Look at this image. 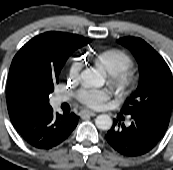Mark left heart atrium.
I'll use <instances>...</instances> for the list:
<instances>
[{
	"label": "left heart atrium",
	"instance_id": "obj_1",
	"mask_svg": "<svg viewBox=\"0 0 173 170\" xmlns=\"http://www.w3.org/2000/svg\"><path fill=\"white\" fill-rule=\"evenodd\" d=\"M110 96L106 89H89L81 93L84 104L90 107H98L103 104Z\"/></svg>",
	"mask_w": 173,
	"mask_h": 170
}]
</instances>
